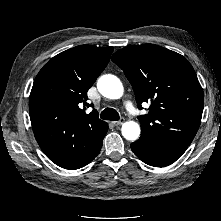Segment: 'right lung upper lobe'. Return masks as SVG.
Masks as SVG:
<instances>
[{
	"label": "right lung upper lobe",
	"mask_w": 221,
	"mask_h": 221,
	"mask_svg": "<svg viewBox=\"0 0 221 221\" xmlns=\"http://www.w3.org/2000/svg\"><path fill=\"white\" fill-rule=\"evenodd\" d=\"M112 52V47L71 48L53 57L34 80L29 98L33 132L42 151L62 168L83 167L108 125L96 110H84L93 107L87 103V91Z\"/></svg>",
	"instance_id": "cb5924a9"
}]
</instances>
